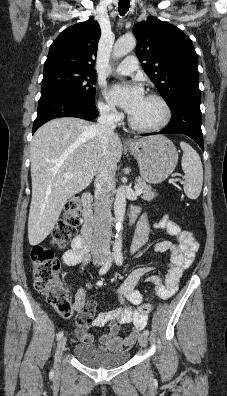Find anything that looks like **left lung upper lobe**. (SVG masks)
Instances as JSON below:
<instances>
[{"label":"left lung upper lobe","instance_id":"5c2ea615","mask_svg":"<svg viewBox=\"0 0 227 396\" xmlns=\"http://www.w3.org/2000/svg\"><path fill=\"white\" fill-rule=\"evenodd\" d=\"M142 67L170 105L182 94H200L197 53L179 28L156 17L133 27Z\"/></svg>","mask_w":227,"mask_h":396}]
</instances>
